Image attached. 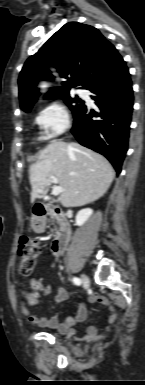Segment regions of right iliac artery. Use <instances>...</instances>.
I'll list each match as a JSON object with an SVG mask.
<instances>
[{
  "label": "right iliac artery",
  "mask_w": 145,
  "mask_h": 385,
  "mask_svg": "<svg viewBox=\"0 0 145 385\" xmlns=\"http://www.w3.org/2000/svg\"><path fill=\"white\" fill-rule=\"evenodd\" d=\"M73 283H74L75 285H80V284H81V280H80L79 278H77V277H74V278H73Z\"/></svg>",
  "instance_id": "82829eb1"
}]
</instances>
